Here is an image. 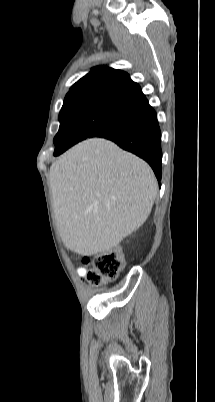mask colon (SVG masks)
Segmentation results:
<instances>
[{"label":"colon","instance_id":"obj_1","mask_svg":"<svg viewBox=\"0 0 215 402\" xmlns=\"http://www.w3.org/2000/svg\"><path fill=\"white\" fill-rule=\"evenodd\" d=\"M84 262L90 266L87 278L95 285H101L116 279L123 268V258L118 252L100 253L85 257Z\"/></svg>","mask_w":215,"mask_h":402}]
</instances>
